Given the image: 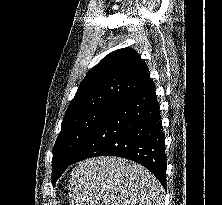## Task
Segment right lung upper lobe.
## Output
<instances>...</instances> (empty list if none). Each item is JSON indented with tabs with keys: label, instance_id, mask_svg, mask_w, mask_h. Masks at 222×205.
I'll list each match as a JSON object with an SVG mask.
<instances>
[{
	"label": "right lung upper lobe",
	"instance_id": "cb5924a9",
	"mask_svg": "<svg viewBox=\"0 0 222 205\" xmlns=\"http://www.w3.org/2000/svg\"><path fill=\"white\" fill-rule=\"evenodd\" d=\"M141 57L129 48L105 56L83 79L64 118L105 106H115L133 91L153 82Z\"/></svg>",
	"mask_w": 222,
	"mask_h": 205
}]
</instances>
